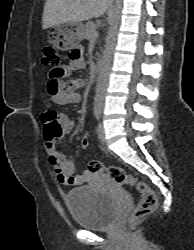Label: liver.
<instances>
[{
  "label": "liver",
  "instance_id": "liver-1",
  "mask_svg": "<svg viewBox=\"0 0 194 250\" xmlns=\"http://www.w3.org/2000/svg\"><path fill=\"white\" fill-rule=\"evenodd\" d=\"M110 2V0H46L42 28L98 18L106 13Z\"/></svg>",
  "mask_w": 194,
  "mask_h": 250
}]
</instances>
